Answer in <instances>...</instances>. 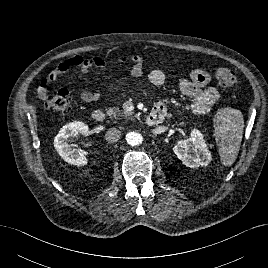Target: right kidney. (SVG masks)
Listing matches in <instances>:
<instances>
[{
    "instance_id": "right-kidney-1",
    "label": "right kidney",
    "mask_w": 268,
    "mask_h": 268,
    "mask_svg": "<svg viewBox=\"0 0 268 268\" xmlns=\"http://www.w3.org/2000/svg\"><path fill=\"white\" fill-rule=\"evenodd\" d=\"M88 135V125L81 121H73L63 126L59 133L54 138V146L58 154L64 159V161L76 165L84 166L88 163V159L79 150L73 147L72 144H68V138L77 135Z\"/></svg>"
}]
</instances>
